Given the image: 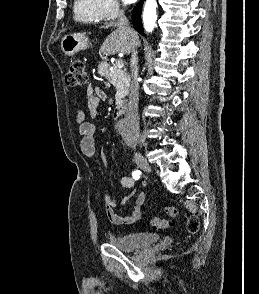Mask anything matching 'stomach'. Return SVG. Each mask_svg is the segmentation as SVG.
<instances>
[{"label":"stomach","instance_id":"0dacf381","mask_svg":"<svg viewBox=\"0 0 259 294\" xmlns=\"http://www.w3.org/2000/svg\"><path fill=\"white\" fill-rule=\"evenodd\" d=\"M89 39L85 33H72L63 37L61 49L66 56H73L88 47Z\"/></svg>","mask_w":259,"mask_h":294}]
</instances>
